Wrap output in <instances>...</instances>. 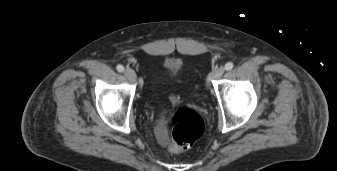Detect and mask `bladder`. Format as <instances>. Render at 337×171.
<instances>
[{
  "label": "bladder",
  "instance_id": "obj_1",
  "mask_svg": "<svg viewBox=\"0 0 337 171\" xmlns=\"http://www.w3.org/2000/svg\"><path fill=\"white\" fill-rule=\"evenodd\" d=\"M164 69L169 73L175 74L178 71V66L173 61H167L164 64Z\"/></svg>",
  "mask_w": 337,
  "mask_h": 171
}]
</instances>
